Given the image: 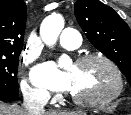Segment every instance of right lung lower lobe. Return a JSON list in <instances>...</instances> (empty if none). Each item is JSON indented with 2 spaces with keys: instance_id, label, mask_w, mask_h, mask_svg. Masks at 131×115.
I'll use <instances>...</instances> for the list:
<instances>
[{
  "instance_id": "right-lung-lower-lobe-1",
  "label": "right lung lower lobe",
  "mask_w": 131,
  "mask_h": 115,
  "mask_svg": "<svg viewBox=\"0 0 131 115\" xmlns=\"http://www.w3.org/2000/svg\"><path fill=\"white\" fill-rule=\"evenodd\" d=\"M8 98L6 97H0V100H7Z\"/></svg>"
}]
</instances>
